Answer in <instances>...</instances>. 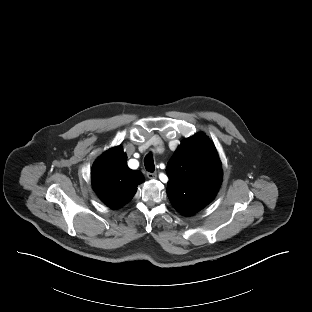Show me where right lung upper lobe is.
<instances>
[{
    "label": "right lung upper lobe",
    "instance_id": "cb5924a9",
    "mask_svg": "<svg viewBox=\"0 0 312 312\" xmlns=\"http://www.w3.org/2000/svg\"><path fill=\"white\" fill-rule=\"evenodd\" d=\"M127 156L120 146L101 155L94 163L91 179L94 191L110 208L117 209L128 203L144 181L139 170L127 166Z\"/></svg>",
    "mask_w": 312,
    "mask_h": 312
}]
</instances>
